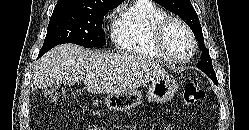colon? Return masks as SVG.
<instances>
[{
  "mask_svg": "<svg viewBox=\"0 0 249 130\" xmlns=\"http://www.w3.org/2000/svg\"><path fill=\"white\" fill-rule=\"evenodd\" d=\"M46 100L54 106H61L66 100V89L62 86L51 88L46 93ZM206 96L205 90L196 81H190L185 85L183 98L188 105L196 104L202 101ZM89 130H106L100 127H90Z\"/></svg>",
  "mask_w": 249,
  "mask_h": 130,
  "instance_id": "colon-1",
  "label": "colon"
}]
</instances>
